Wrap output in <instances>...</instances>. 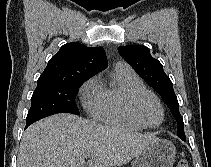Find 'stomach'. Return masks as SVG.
<instances>
[{
  "label": "stomach",
  "mask_w": 211,
  "mask_h": 167,
  "mask_svg": "<svg viewBox=\"0 0 211 167\" xmlns=\"http://www.w3.org/2000/svg\"><path fill=\"white\" fill-rule=\"evenodd\" d=\"M175 155L176 148L170 141L156 138L135 158L132 167H173Z\"/></svg>",
  "instance_id": "stomach-1"
}]
</instances>
